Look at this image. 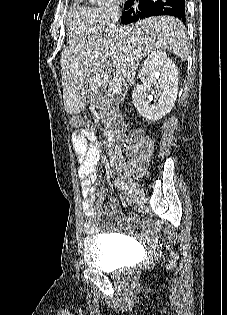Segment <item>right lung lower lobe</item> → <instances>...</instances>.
Here are the masks:
<instances>
[{
    "label": "right lung lower lobe",
    "mask_w": 227,
    "mask_h": 315,
    "mask_svg": "<svg viewBox=\"0 0 227 315\" xmlns=\"http://www.w3.org/2000/svg\"><path fill=\"white\" fill-rule=\"evenodd\" d=\"M124 8L122 24L156 15L175 16L185 22V0H130Z\"/></svg>",
    "instance_id": "98d812e1"
}]
</instances>
